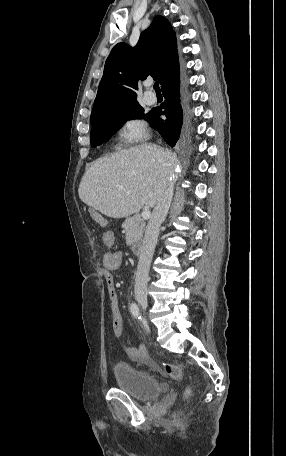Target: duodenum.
I'll return each mask as SVG.
<instances>
[{
  "mask_svg": "<svg viewBox=\"0 0 286 456\" xmlns=\"http://www.w3.org/2000/svg\"><path fill=\"white\" fill-rule=\"evenodd\" d=\"M143 245L141 242H136L132 245V251L135 255H140L142 252Z\"/></svg>",
  "mask_w": 286,
  "mask_h": 456,
  "instance_id": "1",
  "label": "duodenum"
}]
</instances>
